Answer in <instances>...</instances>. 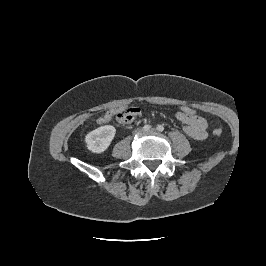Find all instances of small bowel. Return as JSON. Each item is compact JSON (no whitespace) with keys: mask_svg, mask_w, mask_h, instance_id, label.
I'll list each match as a JSON object with an SVG mask.
<instances>
[{"mask_svg":"<svg viewBox=\"0 0 266 266\" xmlns=\"http://www.w3.org/2000/svg\"><path fill=\"white\" fill-rule=\"evenodd\" d=\"M131 110L133 112V118L128 123L132 122L135 118H137L141 114V110L138 107H133L131 108ZM113 114L114 111L105 112L98 119V123L99 124L108 123L112 119ZM175 118L177 121L182 123L184 132L192 139L203 140L207 137L208 123L204 117L200 115L188 117L180 112H177L175 114Z\"/></svg>","mask_w":266,"mask_h":266,"instance_id":"small-bowel-1","label":"small bowel"}]
</instances>
